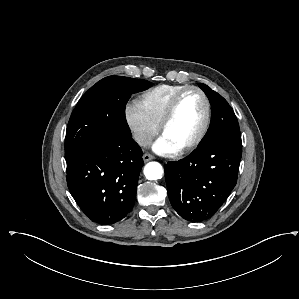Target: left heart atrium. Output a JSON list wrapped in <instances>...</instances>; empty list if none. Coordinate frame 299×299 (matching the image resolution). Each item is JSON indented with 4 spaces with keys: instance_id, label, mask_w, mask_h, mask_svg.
<instances>
[{
    "instance_id": "1",
    "label": "left heart atrium",
    "mask_w": 299,
    "mask_h": 299,
    "mask_svg": "<svg viewBox=\"0 0 299 299\" xmlns=\"http://www.w3.org/2000/svg\"><path fill=\"white\" fill-rule=\"evenodd\" d=\"M153 149L163 155H170L176 153L179 148L170 143L164 136H161L153 144Z\"/></svg>"
}]
</instances>
